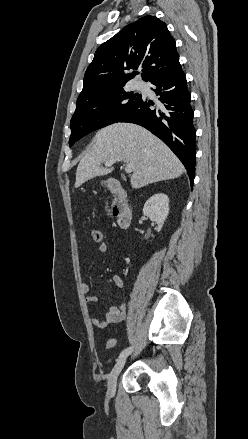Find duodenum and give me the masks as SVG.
<instances>
[{"label":"duodenum","mask_w":248,"mask_h":439,"mask_svg":"<svg viewBox=\"0 0 248 439\" xmlns=\"http://www.w3.org/2000/svg\"><path fill=\"white\" fill-rule=\"evenodd\" d=\"M109 191L114 194L113 215L120 228H128L133 220V213L128 202V194L120 181L112 179L109 182Z\"/></svg>","instance_id":"1"}]
</instances>
